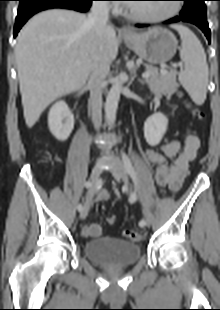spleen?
<instances>
[{
    "mask_svg": "<svg viewBox=\"0 0 220 310\" xmlns=\"http://www.w3.org/2000/svg\"><path fill=\"white\" fill-rule=\"evenodd\" d=\"M181 38L180 58L184 70L179 72V81L197 105L206 99L208 85V65L204 48L196 35L183 25H173Z\"/></svg>",
    "mask_w": 220,
    "mask_h": 310,
    "instance_id": "3e777b00",
    "label": "spleen"
}]
</instances>
